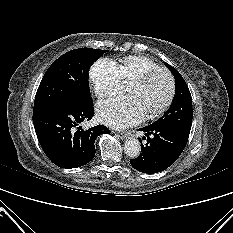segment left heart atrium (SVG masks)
I'll use <instances>...</instances> for the list:
<instances>
[{"label": "left heart atrium", "mask_w": 233, "mask_h": 233, "mask_svg": "<svg viewBox=\"0 0 233 233\" xmlns=\"http://www.w3.org/2000/svg\"><path fill=\"white\" fill-rule=\"evenodd\" d=\"M97 115L106 125L123 128L140 122L145 111L134 95L116 96L97 105Z\"/></svg>", "instance_id": "left-heart-atrium-1"}]
</instances>
